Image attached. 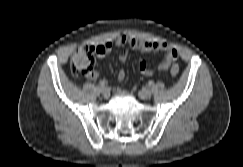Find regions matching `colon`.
<instances>
[{
	"label": "colon",
	"instance_id": "obj_1",
	"mask_svg": "<svg viewBox=\"0 0 243 167\" xmlns=\"http://www.w3.org/2000/svg\"><path fill=\"white\" fill-rule=\"evenodd\" d=\"M71 70L76 77H86L93 72L95 66L94 47L81 46L74 50L71 56ZM170 72L173 76L178 75L179 66L173 64Z\"/></svg>",
	"mask_w": 243,
	"mask_h": 167
}]
</instances>
